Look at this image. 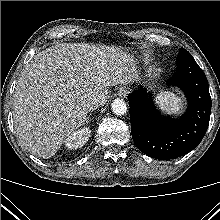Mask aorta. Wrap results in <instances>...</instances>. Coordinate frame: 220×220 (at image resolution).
I'll return each mask as SVG.
<instances>
[{"label": "aorta", "instance_id": "aorta-1", "mask_svg": "<svg viewBox=\"0 0 220 220\" xmlns=\"http://www.w3.org/2000/svg\"><path fill=\"white\" fill-rule=\"evenodd\" d=\"M112 112L118 116L124 115L127 111V105L123 99H115L111 104Z\"/></svg>", "mask_w": 220, "mask_h": 220}]
</instances>
